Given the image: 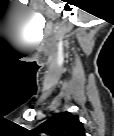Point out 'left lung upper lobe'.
I'll use <instances>...</instances> for the list:
<instances>
[{
	"mask_svg": "<svg viewBox=\"0 0 114 136\" xmlns=\"http://www.w3.org/2000/svg\"><path fill=\"white\" fill-rule=\"evenodd\" d=\"M34 132H43L55 136H83L84 128L78 116L71 113H59L34 129Z\"/></svg>",
	"mask_w": 114,
	"mask_h": 136,
	"instance_id": "5c2ea615",
	"label": "left lung upper lobe"
}]
</instances>
